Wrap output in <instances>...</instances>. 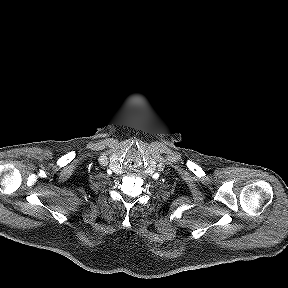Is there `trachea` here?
Returning a JSON list of instances; mask_svg holds the SVG:
<instances>
[{
    "mask_svg": "<svg viewBox=\"0 0 288 288\" xmlns=\"http://www.w3.org/2000/svg\"><path fill=\"white\" fill-rule=\"evenodd\" d=\"M140 157L137 153L130 151L127 155L125 165L128 167H136L139 164Z\"/></svg>",
    "mask_w": 288,
    "mask_h": 288,
    "instance_id": "3493384b",
    "label": "trachea"
}]
</instances>
